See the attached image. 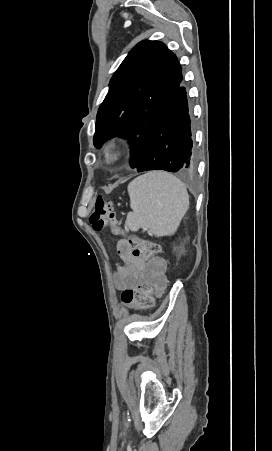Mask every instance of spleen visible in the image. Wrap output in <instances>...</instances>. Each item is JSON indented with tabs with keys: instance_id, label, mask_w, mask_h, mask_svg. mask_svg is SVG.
Instances as JSON below:
<instances>
[{
	"instance_id": "3e777b00",
	"label": "spleen",
	"mask_w": 272,
	"mask_h": 451,
	"mask_svg": "<svg viewBox=\"0 0 272 451\" xmlns=\"http://www.w3.org/2000/svg\"><path fill=\"white\" fill-rule=\"evenodd\" d=\"M133 212L126 227L138 231L143 227L149 235H172L189 208L185 184L168 172H148L130 182L128 188Z\"/></svg>"
}]
</instances>
